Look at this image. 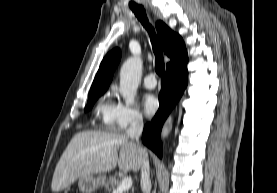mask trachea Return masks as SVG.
I'll return each mask as SVG.
<instances>
[{
    "label": "trachea",
    "instance_id": "1",
    "mask_svg": "<svg viewBox=\"0 0 277 193\" xmlns=\"http://www.w3.org/2000/svg\"><path fill=\"white\" fill-rule=\"evenodd\" d=\"M130 8L150 35L153 52L155 54V71L158 75H162L165 70L163 51L161 44L155 34L154 28L149 24L146 11L144 7L138 5L130 6Z\"/></svg>",
    "mask_w": 277,
    "mask_h": 193
}]
</instances>
